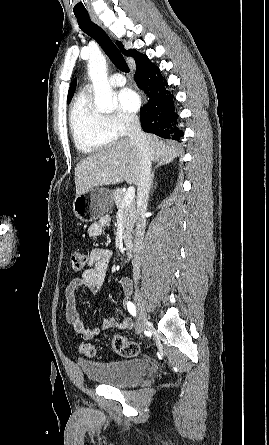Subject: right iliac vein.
<instances>
[{"instance_id":"1","label":"right iliac vein","mask_w":269,"mask_h":445,"mask_svg":"<svg viewBox=\"0 0 269 445\" xmlns=\"http://www.w3.org/2000/svg\"><path fill=\"white\" fill-rule=\"evenodd\" d=\"M135 302L137 306V324L136 332L140 334L148 325V320L144 311V303L138 292L135 293Z\"/></svg>"}]
</instances>
